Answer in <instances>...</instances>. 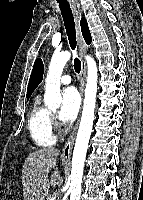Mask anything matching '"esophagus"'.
I'll return each instance as SVG.
<instances>
[{
  "label": "esophagus",
  "mask_w": 143,
  "mask_h": 200,
  "mask_svg": "<svg viewBox=\"0 0 143 200\" xmlns=\"http://www.w3.org/2000/svg\"><path fill=\"white\" fill-rule=\"evenodd\" d=\"M72 9H73V12L75 14V19H76L77 40H78V47H79L80 59H81V73H80L79 90H80L81 97L83 98L85 82H86V63L83 59V55L87 50V45H86V42H85V40L82 36V32H81V28H80V19L82 17V10L80 8V5L78 3H72ZM79 121H80V118H78L77 123H76L72 133L68 137V139H67V141H66V143L63 147L61 157L65 161L70 160L71 152H72V148H73V144H74V140H75V136H76V132H77L78 125H79Z\"/></svg>",
  "instance_id": "34e87169"
}]
</instances>
